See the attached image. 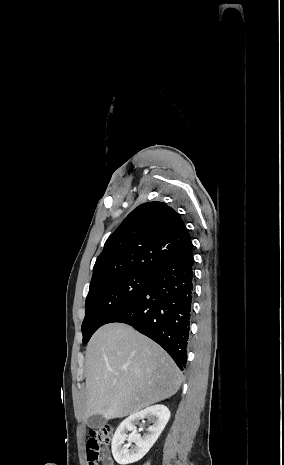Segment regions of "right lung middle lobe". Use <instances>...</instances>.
<instances>
[{
    "mask_svg": "<svg viewBox=\"0 0 284 465\" xmlns=\"http://www.w3.org/2000/svg\"><path fill=\"white\" fill-rule=\"evenodd\" d=\"M152 275L126 274L108 278L90 286L86 298V315L82 323L83 343L93 333L130 303L150 282Z\"/></svg>",
    "mask_w": 284,
    "mask_h": 465,
    "instance_id": "right-lung-middle-lobe-1",
    "label": "right lung middle lobe"
}]
</instances>
